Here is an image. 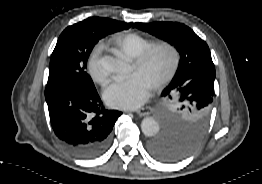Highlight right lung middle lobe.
<instances>
[{"label":"right lung middle lobe","mask_w":262,"mask_h":184,"mask_svg":"<svg viewBox=\"0 0 262 184\" xmlns=\"http://www.w3.org/2000/svg\"><path fill=\"white\" fill-rule=\"evenodd\" d=\"M129 27L127 23L100 17H90L67 27L52 53L47 85L74 84L95 89L85 71L91 50L99 39Z\"/></svg>","instance_id":"right-lung-middle-lobe-1"}]
</instances>
